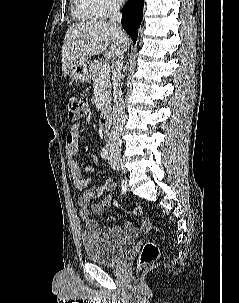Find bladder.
Returning <instances> with one entry per match:
<instances>
[{
	"label": "bladder",
	"mask_w": 239,
	"mask_h": 303,
	"mask_svg": "<svg viewBox=\"0 0 239 303\" xmlns=\"http://www.w3.org/2000/svg\"><path fill=\"white\" fill-rule=\"evenodd\" d=\"M132 241V237L111 239L103 236H85L82 239V246L90 261L112 265L124 257Z\"/></svg>",
	"instance_id": "1"
}]
</instances>
